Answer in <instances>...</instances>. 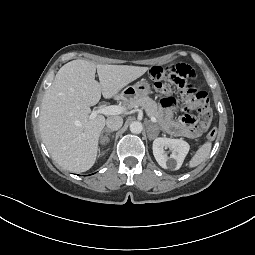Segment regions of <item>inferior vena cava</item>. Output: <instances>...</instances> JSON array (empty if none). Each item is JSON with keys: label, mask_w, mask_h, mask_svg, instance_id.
Wrapping results in <instances>:
<instances>
[{"label": "inferior vena cava", "mask_w": 255, "mask_h": 255, "mask_svg": "<svg viewBox=\"0 0 255 255\" xmlns=\"http://www.w3.org/2000/svg\"><path fill=\"white\" fill-rule=\"evenodd\" d=\"M106 125L110 130L116 131L122 127L123 119L120 116L108 117L106 120Z\"/></svg>", "instance_id": "602c4592"}]
</instances>
